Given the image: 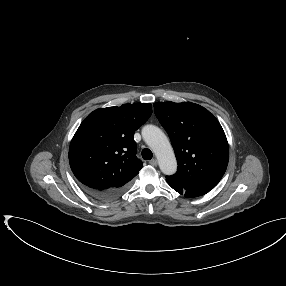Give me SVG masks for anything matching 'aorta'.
Instances as JSON below:
<instances>
[{
  "instance_id": "obj_1",
  "label": "aorta",
  "mask_w": 286,
  "mask_h": 286,
  "mask_svg": "<svg viewBox=\"0 0 286 286\" xmlns=\"http://www.w3.org/2000/svg\"><path fill=\"white\" fill-rule=\"evenodd\" d=\"M146 144L155 153L160 170L165 175H173L177 170V161L173 148L165 133L154 125H146L142 129Z\"/></svg>"
}]
</instances>
